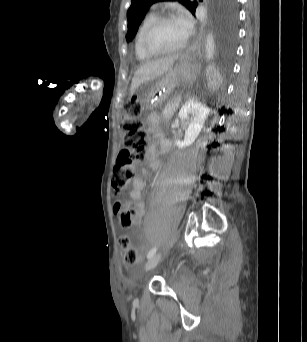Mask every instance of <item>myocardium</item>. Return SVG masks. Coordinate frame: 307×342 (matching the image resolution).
<instances>
[{"mask_svg":"<svg viewBox=\"0 0 307 342\" xmlns=\"http://www.w3.org/2000/svg\"><path fill=\"white\" fill-rule=\"evenodd\" d=\"M163 22L180 23L179 19L173 15L161 14V15L154 17L146 25V27H145L142 35H141V38H140V47H141L142 52L151 58H160V57L172 56V55L179 54V53L183 52L188 45V41H187V39H185V41L179 47H177L175 49L162 51V52H157V51L151 50L148 46V39H149L150 35L152 34V32L156 29V27H158Z\"/></svg>","mask_w":307,"mask_h":342,"instance_id":"f54148a6","label":"myocardium"}]
</instances>
